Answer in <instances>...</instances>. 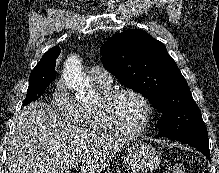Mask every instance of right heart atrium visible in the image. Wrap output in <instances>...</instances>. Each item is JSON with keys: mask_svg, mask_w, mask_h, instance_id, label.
<instances>
[{"mask_svg": "<svg viewBox=\"0 0 219 173\" xmlns=\"http://www.w3.org/2000/svg\"><path fill=\"white\" fill-rule=\"evenodd\" d=\"M51 104L60 114L77 121L78 106L71 98L63 81L55 84L51 94Z\"/></svg>", "mask_w": 219, "mask_h": 173, "instance_id": "1", "label": "right heart atrium"}]
</instances>
